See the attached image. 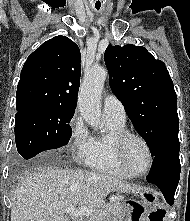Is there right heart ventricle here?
<instances>
[{"label":"right heart ventricle","instance_id":"1","mask_svg":"<svg viewBox=\"0 0 190 221\" xmlns=\"http://www.w3.org/2000/svg\"><path fill=\"white\" fill-rule=\"evenodd\" d=\"M107 130L103 134L93 136L92 151L85 165L95 171L131 177L119 164L115 153V140L119 134L126 131L125 122L106 118Z\"/></svg>","mask_w":190,"mask_h":221}]
</instances>
